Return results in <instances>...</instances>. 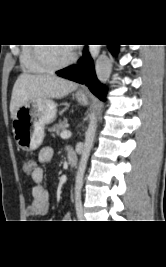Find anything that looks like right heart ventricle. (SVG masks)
I'll return each instance as SVG.
<instances>
[{
  "label": "right heart ventricle",
  "instance_id": "1",
  "mask_svg": "<svg viewBox=\"0 0 166 267\" xmlns=\"http://www.w3.org/2000/svg\"><path fill=\"white\" fill-rule=\"evenodd\" d=\"M28 44L20 50L19 61L22 69L30 73H46L49 71L46 67L37 62L34 56V46Z\"/></svg>",
  "mask_w": 166,
  "mask_h": 267
}]
</instances>
